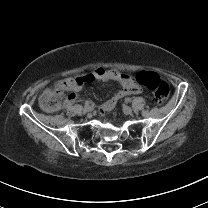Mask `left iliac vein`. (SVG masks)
I'll use <instances>...</instances> for the list:
<instances>
[{"label": "left iliac vein", "mask_w": 208, "mask_h": 208, "mask_svg": "<svg viewBox=\"0 0 208 208\" xmlns=\"http://www.w3.org/2000/svg\"><path fill=\"white\" fill-rule=\"evenodd\" d=\"M123 112L126 114V115H129V114H132V108L127 106V105H124L123 106Z\"/></svg>", "instance_id": "left-iliac-vein-1"}]
</instances>
